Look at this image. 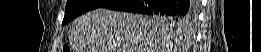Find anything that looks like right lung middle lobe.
Returning <instances> with one entry per match:
<instances>
[{
  "instance_id": "right-lung-middle-lobe-1",
  "label": "right lung middle lobe",
  "mask_w": 261,
  "mask_h": 52,
  "mask_svg": "<svg viewBox=\"0 0 261 52\" xmlns=\"http://www.w3.org/2000/svg\"><path fill=\"white\" fill-rule=\"evenodd\" d=\"M110 0H68L66 5L65 16L63 25L74 19L75 17L95 8L106 5ZM195 13H192L188 17H177V16H165L159 15L164 21L170 23H183L193 21Z\"/></svg>"
}]
</instances>
